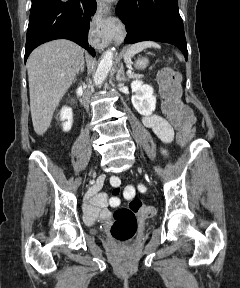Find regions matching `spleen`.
I'll return each mask as SVG.
<instances>
[{
	"instance_id": "obj_1",
	"label": "spleen",
	"mask_w": 240,
	"mask_h": 288,
	"mask_svg": "<svg viewBox=\"0 0 240 288\" xmlns=\"http://www.w3.org/2000/svg\"><path fill=\"white\" fill-rule=\"evenodd\" d=\"M150 47L159 49L160 45L154 41H143V42L136 43L134 45H131L128 48L127 52L125 53V59L128 61L131 57H133L137 53Z\"/></svg>"
}]
</instances>
